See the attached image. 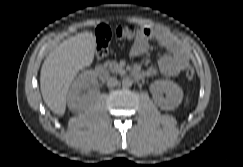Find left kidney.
Returning a JSON list of instances; mask_svg holds the SVG:
<instances>
[{
	"label": "left kidney",
	"mask_w": 243,
	"mask_h": 167,
	"mask_svg": "<svg viewBox=\"0 0 243 167\" xmlns=\"http://www.w3.org/2000/svg\"><path fill=\"white\" fill-rule=\"evenodd\" d=\"M150 89L154 92L155 104L163 110L175 109L183 99L182 89L173 81L157 80L150 85ZM158 92H163L165 97H161Z\"/></svg>",
	"instance_id": "1"
}]
</instances>
